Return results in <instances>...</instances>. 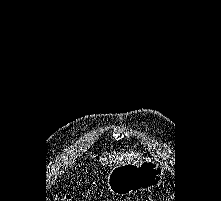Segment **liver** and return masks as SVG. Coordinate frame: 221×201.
<instances>
[{
  "label": "liver",
  "mask_w": 221,
  "mask_h": 201,
  "mask_svg": "<svg viewBox=\"0 0 221 201\" xmlns=\"http://www.w3.org/2000/svg\"><path fill=\"white\" fill-rule=\"evenodd\" d=\"M105 165H120L125 164L127 162H138L142 159V155L134 154V153H113L104 155V157L100 158Z\"/></svg>",
  "instance_id": "1"
}]
</instances>
